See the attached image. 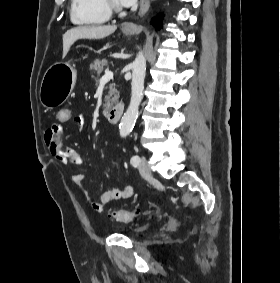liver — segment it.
Instances as JSON below:
<instances>
[{"label": "liver", "instance_id": "1", "mask_svg": "<svg viewBox=\"0 0 280 283\" xmlns=\"http://www.w3.org/2000/svg\"><path fill=\"white\" fill-rule=\"evenodd\" d=\"M117 29L116 25H89L78 26L68 30L63 35V57H65L70 47L79 39H103Z\"/></svg>", "mask_w": 280, "mask_h": 283}]
</instances>
